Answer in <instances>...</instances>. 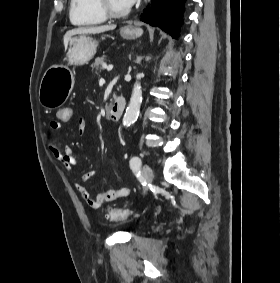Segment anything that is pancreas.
<instances>
[{"instance_id": "cf45deb5", "label": "pancreas", "mask_w": 280, "mask_h": 283, "mask_svg": "<svg viewBox=\"0 0 280 283\" xmlns=\"http://www.w3.org/2000/svg\"><path fill=\"white\" fill-rule=\"evenodd\" d=\"M106 65V59L105 57H98L95 59V62L91 65L92 69H95V73L100 72L102 69H104V66Z\"/></svg>"}]
</instances>
